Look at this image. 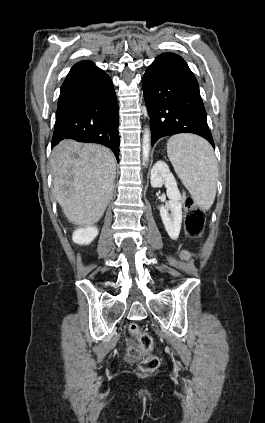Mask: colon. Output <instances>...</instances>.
Returning <instances> with one entry per match:
<instances>
[{
    "label": "colon",
    "mask_w": 265,
    "mask_h": 423,
    "mask_svg": "<svg viewBox=\"0 0 265 423\" xmlns=\"http://www.w3.org/2000/svg\"><path fill=\"white\" fill-rule=\"evenodd\" d=\"M186 216L185 229L186 232L193 237H200L203 234L205 215L204 212L196 206L192 198L186 199ZM129 332L137 338L138 348L141 352H148L153 347V339L151 335L142 331L136 323L128 326ZM133 355H138V351L134 350ZM160 360L157 356H147L141 359L140 368L142 371L151 372L158 368Z\"/></svg>",
    "instance_id": "obj_1"
}]
</instances>
